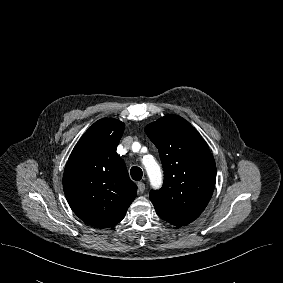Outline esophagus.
<instances>
[{
    "instance_id": "esophagus-1",
    "label": "esophagus",
    "mask_w": 283,
    "mask_h": 283,
    "mask_svg": "<svg viewBox=\"0 0 283 283\" xmlns=\"http://www.w3.org/2000/svg\"><path fill=\"white\" fill-rule=\"evenodd\" d=\"M137 187H138L139 193L142 194L145 191V184L143 182H138Z\"/></svg>"
}]
</instances>
